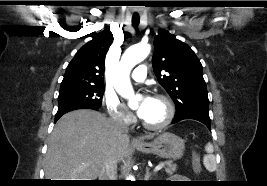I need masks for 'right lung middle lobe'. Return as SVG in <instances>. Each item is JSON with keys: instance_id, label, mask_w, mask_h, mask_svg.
I'll return each instance as SVG.
<instances>
[{"instance_id": "dd1d6c3e", "label": "right lung middle lobe", "mask_w": 267, "mask_h": 186, "mask_svg": "<svg viewBox=\"0 0 267 186\" xmlns=\"http://www.w3.org/2000/svg\"><path fill=\"white\" fill-rule=\"evenodd\" d=\"M104 86L69 85L61 86L58 97V108L89 105L99 107L102 103Z\"/></svg>"}]
</instances>
